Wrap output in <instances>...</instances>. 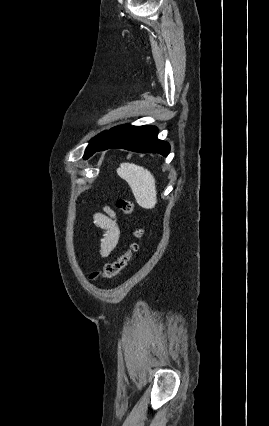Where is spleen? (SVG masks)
I'll return each mask as SVG.
<instances>
[{"instance_id":"3e777b00","label":"spleen","mask_w":269,"mask_h":426,"mask_svg":"<svg viewBox=\"0 0 269 426\" xmlns=\"http://www.w3.org/2000/svg\"><path fill=\"white\" fill-rule=\"evenodd\" d=\"M117 174L130 186L139 206L152 209L157 203L155 178L148 169L134 163H121Z\"/></svg>"}]
</instances>
